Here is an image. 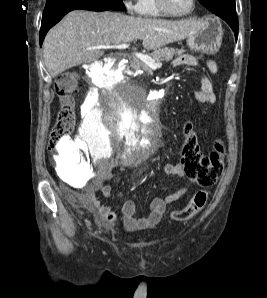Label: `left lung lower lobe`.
Listing matches in <instances>:
<instances>
[{
	"instance_id": "1",
	"label": "left lung lower lobe",
	"mask_w": 267,
	"mask_h": 298,
	"mask_svg": "<svg viewBox=\"0 0 267 298\" xmlns=\"http://www.w3.org/2000/svg\"><path fill=\"white\" fill-rule=\"evenodd\" d=\"M223 20H225L229 26L232 28L234 31L235 37L237 39L238 37V18L236 13H230L227 15H220Z\"/></svg>"
}]
</instances>
